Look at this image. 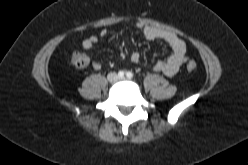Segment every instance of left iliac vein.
I'll list each match as a JSON object with an SVG mask.
<instances>
[{
	"instance_id": "1",
	"label": "left iliac vein",
	"mask_w": 248,
	"mask_h": 165,
	"mask_svg": "<svg viewBox=\"0 0 248 165\" xmlns=\"http://www.w3.org/2000/svg\"><path fill=\"white\" fill-rule=\"evenodd\" d=\"M119 79H120V80H124L125 78H124V77H120Z\"/></svg>"
}]
</instances>
